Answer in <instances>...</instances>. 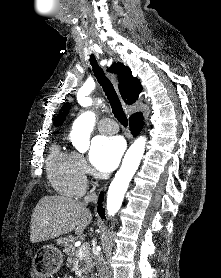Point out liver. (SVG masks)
Here are the masks:
<instances>
[{
  "label": "liver",
  "instance_id": "obj_1",
  "mask_svg": "<svg viewBox=\"0 0 221 278\" xmlns=\"http://www.w3.org/2000/svg\"><path fill=\"white\" fill-rule=\"evenodd\" d=\"M92 220L84 202L59 195H46L37 203L31 216L32 243L54 239L73 230L83 233Z\"/></svg>",
  "mask_w": 221,
  "mask_h": 278
}]
</instances>
